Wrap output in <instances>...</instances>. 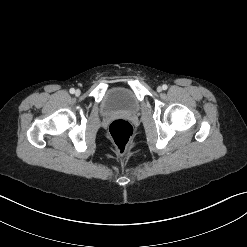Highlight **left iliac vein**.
Instances as JSON below:
<instances>
[{"mask_svg":"<svg viewBox=\"0 0 247 247\" xmlns=\"http://www.w3.org/2000/svg\"><path fill=\"white\" fill-rule=\"evenodd\" d=\"M157 91H158V92H161V91H162V87H161V86H158V87H157Z\"/></svg>","mask_w":247,"mask_h":247,"instance_id":"4c4485c4","label":"left iliac vein"}]
</instances>
